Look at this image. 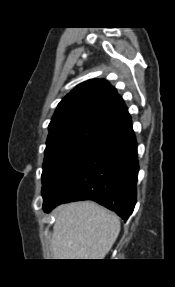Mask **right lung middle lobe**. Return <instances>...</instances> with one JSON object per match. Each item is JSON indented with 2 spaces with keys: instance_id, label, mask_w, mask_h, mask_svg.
Masks as SVG:
<instances>
[{
  "instance_id": "right-lung-middle-lobe-1",
  "label": "right lung middle lobe",
  "mask_w": 175,
  "mask_h": 287,
  "mask_svg": "<svg viewBox=\"0 0 175 287\" xmlns=\"http://www.w3.org/2000/svg\"><path fill=\"white\" fill-rule=\"evenodd\" d=\"M115 127L88 123L51 131L48 135L42 172V195Z\"/></svg>"
}]
</instances>
